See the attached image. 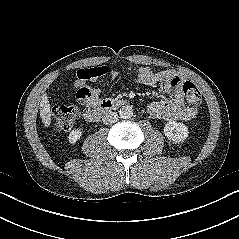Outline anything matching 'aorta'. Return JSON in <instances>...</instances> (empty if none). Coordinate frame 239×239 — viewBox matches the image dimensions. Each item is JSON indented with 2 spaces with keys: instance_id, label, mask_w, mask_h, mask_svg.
<instances>
[{
  "instance_id": "1",
  "label": "aorta",
  "mask_w": 239,
  "mask_h": 239,
  "mask_svg": "<svg viewBox=\"0 0 239 239\" xmlns=\"http://www.w3.org/2000/svg\"><path fill=\"white\" fill-rule=\"evenodd\" d=\"M120 117L123 119H128L133 116V108L130 105H124L119 110Z\"/></svg>"
}]
</instances>
